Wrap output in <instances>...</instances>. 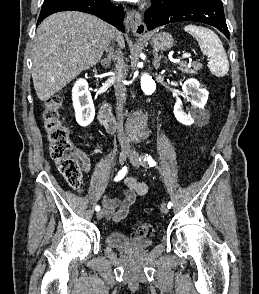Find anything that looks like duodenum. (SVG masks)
Masks as SVG:
<instances>
[{
	"instance_id": "obj_1",
	"label": "duodenum",
	"mask_w": 259,
	"mask_h": 294,
	"mask_svg": "<svg viewBox=\"0 0 259 294\" xmlns=\"http://www.w3.org/2000/svg\"><path fill=\"white\" fill-rule=\"evenodd\" d=\"M98 119L108 131L117 129V122L111 112V108L106 101H102L99 107Z\"/></svg>"
}]
</instances>
